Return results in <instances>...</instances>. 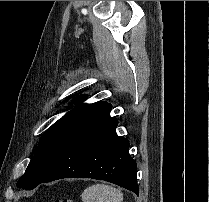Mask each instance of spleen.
Listing matches in <instances>:
<instances>
[{
  "mask_svg": "<svg viewBox=\"0 0 209 202\" xmlns=\"http://www.w3.org/2000/svg\"><path fill=\"white\" fill-rule=\"evenodd\" d=\"M81 198L83 202H122L123 194L110 185L95 184L87 187Z\"/></svg>",
  "mask_w": 209,
  "mask_h": 202,
  "instance_id": "spleen-1",
  "label": "spleen"
}]
</instances>
